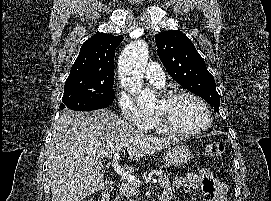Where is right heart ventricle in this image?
<instances>
[{
    "instance_id": "1",
    "label": "right heart ventricle",
    "mask_w": 271,
    "mask_h": 201,
    "mask_svg": "<svg viewBox=\"0 0 271 201\" xmlns=\"http://www.w3.org/2000/svg\"><path fill=\"white\" fill-rule=\"evenodd\" d=\"M148 131L150 132H156L158 134H166L157 124V122L155 120H153L151 122V124L149 125V127L147 128Z\"/></svg>"
}]
</instances>
